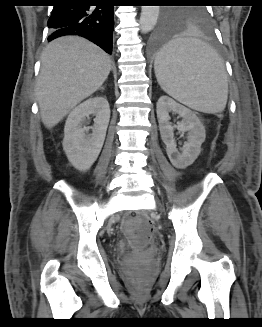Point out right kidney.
<instances>
[{"instance_id": "obj_1", "label": "right kidney", "mask_w": 262, "mask_h": 327, "mask_svg": "<svg viewBox=\"0 0 262 327\" xmlns=\"http://www.w3.org/2000/svg\"><path fill=\"white\" fill-rule=\"evenodd\" d=\"M94 115L92 133L83 126ZM110 119V107L106 98L93 97L75 107L69 114L65 128L63 149L70 163L80 171L88 170L97 159L103 146Z\"/></svg>"}]
</instances>
